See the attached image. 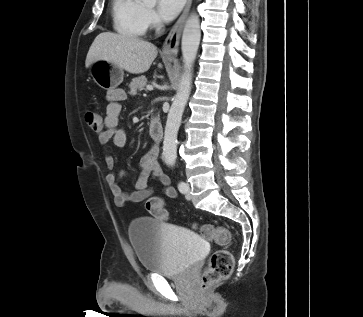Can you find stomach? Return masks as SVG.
Returning a JSON list of instances; mask_svg holds the SVG:
<instances>
[{
	"label": "stomach",
	"instance_id": "stomach-1",
	"mask_svg": "<svg viewBox=\"0 0 363 317\" xmlns=\"http://www.w3.org/2000/svg\"><path fill=\"white\" fill-rule=\"evenodd\" d=\"M166 60L171 61V58ZM89 71L95 83L105 90L115 89L124 77L122 68L106 60L94 61Z\"/></svg>",
	"mask_w": 363,
	"mask_h": 317
}]
</instances>
